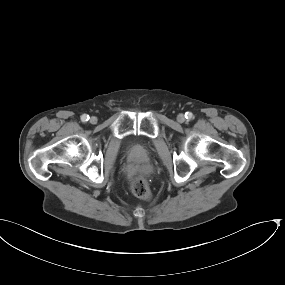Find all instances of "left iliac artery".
<instances>
[{"label": "left iliac artery", "mask_w": 285, "mask_h": 285, "mask_svg": "<svg viewBox=\"0 0 285 285\" xmlns=\"http://www.w3.org/2000/svg\"><path fill=\"white\" fill-rule=\"evenodd\" d=\"M185 118L188 119V120H191V119H193V114L191 112H186L185 113Z\"/></svg>", "instance_id": "obj_1"}]
</instances>
